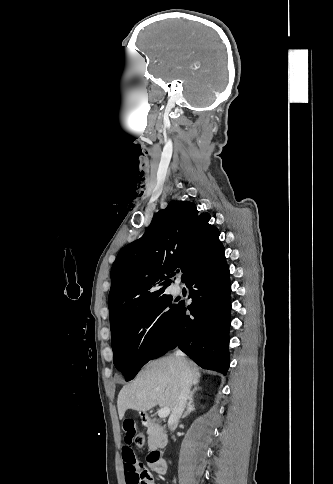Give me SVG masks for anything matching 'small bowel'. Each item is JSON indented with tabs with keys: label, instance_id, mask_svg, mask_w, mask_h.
<instances>
[{
	"label": "small bowel",
	"instance_id": "c3829d8e",
	"mask_svg": "<svg viewBox=\"0 0 333 484\" xmlns=\"http://www.w3.org/2000/svg\"><path fill=\"white\" fill-rule=\"evenodd\" d=\"M124 431V445L122 447V460L126 484H155L152 474L137 459L133 449V441L137 435L136 422L126 417L122 424Z\"/></svg>",
	"mask_w": 333,
	"mask_h": 484
}]
</instances>
